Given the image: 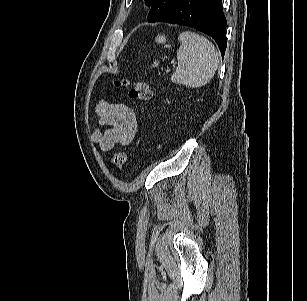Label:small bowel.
Masks as SVG:
<instances>
[{
	"label": "small bowel",
	"instance_id": "obj_1",
	"mask_svg": "<svg viewBox=\"0 0 307 301\" xmlns=\"http://www.w3.org/2000/svg\"><path fill=\"white\" fill-rule=\"evenodd\" d=\"M96 113L103 130L97 131L93 140L103 152L110 151L115 144L128 145L137 131L135 110L123 102L101 100L96 105Z\"/></svg>",
	"mask_w": 307,
	"mask_h": 301
}]
</instances>
